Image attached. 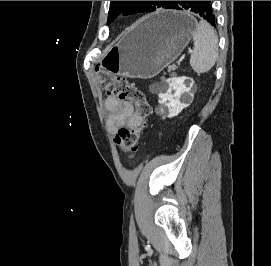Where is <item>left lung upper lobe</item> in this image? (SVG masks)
I'll return each instance as SVG.
<instances>
[{"label":"left lung upper lobe","mask_w":271,"mask_h":266,"mask_svg":"<svg viewBox=\"0 0 271 266\" xmlns=\"http://www.w3.org/2000/svg\"><path fill=\"white\" fill-rule=\"evenodd\" d=\"M173 1H110L107 23L123 13L124 15L138 12H153L158 8H168Z\"/></svg>","instance_id":"5c2ea615"}]
</instances>
